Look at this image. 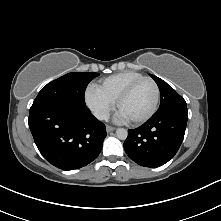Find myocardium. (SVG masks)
<instances>
[{"instance_id":"obj_1","label":"myocardium","mask_w":221,"mask_h":221,"mask_svg":"<svg viewBox=\"0 0 221 221\" xmlns=\"http://www.w3.org/2000/svg\"><path fill=\"white\" fill-rule=\"evenodd\" d=\"M143 81H149L153 84L154 89H155V98H154L152 108L150 109V111L147 114H145L144 116H142L138 119L129 120V122L133 125H139V124H142V123L148 121L156 113L157 108H158V104H159V100H160V89H159L157 82L151 77L143 76V77L133 81L132 83H130L124 89V91L120 94V96L118 97V99L116 101L117 109H120L121 104L130 96V94L133 92V90L136 88V86Z\"/></svg>"}]
</instances>
